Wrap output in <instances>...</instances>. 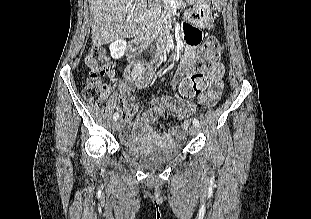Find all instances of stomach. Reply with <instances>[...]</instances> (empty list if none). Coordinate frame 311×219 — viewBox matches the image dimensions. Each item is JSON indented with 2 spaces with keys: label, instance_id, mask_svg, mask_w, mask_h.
<instances>
[{
  "label": "stomach",
  "instance_id": "obj_1",
  "mask_svg": "<svg viewBox=\"0 0 311 219\" xmlns=\"http://www.w3.org/2000/svg\"><path fill=\"white\" fill-rule=\"evenodd\" d=\"M194 8L186 13V18L195 25L206 28L213 20L209 0H187Z\"/></svg>",
  "mask_w": 311,
  "mask_h": 219
}]
</instances>
